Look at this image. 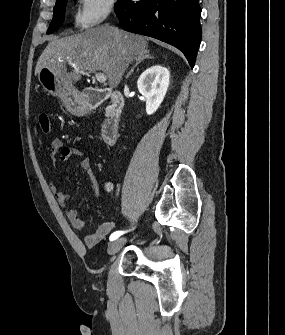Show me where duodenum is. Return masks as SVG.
Wrapping results in <instances>:
<instances>
[{
	"label": "duodenum",
	"mask_w": 285,
	"mask_h": 335,
	"mask_svg": "<svg viewBox=\"0 0 285 335\" xmlns=\"http://www.w3.org/2000/svg\"><path fill=\"white\" fill-rule=\"evenodd\" d=\"M107 103V110L101 129V137L108 145L117 141L124 99L122 94L110 88H88L81 99L83 111H91L99 105Z\"/></svg>",
	"instance_id": "duodenum-1"
}]
</instances>
